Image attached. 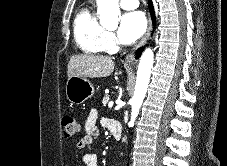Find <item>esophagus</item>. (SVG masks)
<instances>
[{"instance_id": "34e87169", "label": "esophagus", "mask_w": 227, "mask_h": 166, "mask_svg": "<svg viewBox=\"0 0 227 166\" xmlns=\"http://www.w3.org/2000/svg\"><path fill=\"white\" fill-rule=\"evenodd\" d=\"M151 30H152V21L151 19H149V25H148L147 31L143 36V38L140 40V42L136 45L135 50L140 48L147 41V39L150 36ZM133 60H134V52L128 54L125 58L126 63H131L133 62Z\"/></svg>"}]
</instances>
